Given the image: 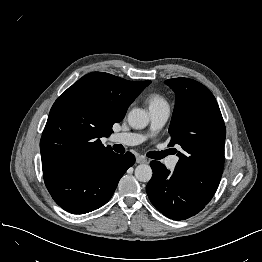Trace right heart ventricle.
I'll list each match as a JSON object with an SVG mask.
<instances>
[{
    "label": "right heart ventricle",
    "mask_w": 262,
    "mask_h": 262,
    "mask_svg": "<svg viewBox=\"0 0 262 262\" xmlns=\"http://www.w3.org/2000/svg\"><path fill=\"white\" fill-rule=\"evenodd\" d=\"M149 108L152 106L167 104L165 99L158 94H153L148 97Z\"/></svg>",
    "instance_id": "e07e8e85"
}]
</instances>
